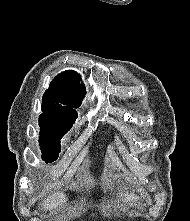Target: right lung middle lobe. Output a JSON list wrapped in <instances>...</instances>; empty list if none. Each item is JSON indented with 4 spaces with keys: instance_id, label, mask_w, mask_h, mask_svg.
<instances>
[{
    "instance_id": "1",
    "label": "right lung middle lobe",
    "mask_w": 190,
    "mask_h": 221,
    "mask_svg": "<svg viewBox=\"0 0 190 221\" xmlns=\"http://www.w3.org/2000/svg\"><path fill=\"white\" fill-rule=\"evenodd\" d=\"M72 123L58 120L39 119L40 130V149L42 151V159L46 163L55 161L61 151L60 139L67 133Z\"/></svg>"
}]
</instances>
